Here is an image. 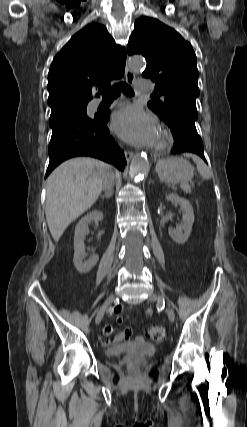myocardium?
Instances as JSON below:
<instances>
[{
  "mask_svg": "<svg viewBox=\"0 0 247 427\" xmlns=\"http://www.w3.org/2000/svg\"><path fill=\"white\" fill-rule=\"evenodd\" d=\"M172 142L173 139L171 133L168 130L161 128L159 130L158 139L153 146V150L156 153L164 152L172 145Z\"/></svg>",
  "mask_w": 247,
  "mask_h": 427,
  "instance_id": "obj_1",
  "label": "myocardium"
}]
</instances>
